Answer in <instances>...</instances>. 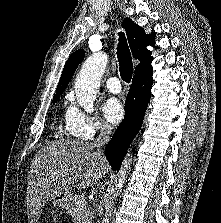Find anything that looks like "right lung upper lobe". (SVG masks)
Returning a JSON list of instances; mask_svg holds the SVG:
<instances>
[{
	"label": "right lung upper lobe",
	"mask_w": 221,
	"mask_h": 223,
	"mask_svg": "<svg viewBox=\"0 0 221 223\" xmlns=\"http://www.w3.org/2000/svg\"><path fill=\"white\" fill-rule=\"evenodd\" d=\"M122 26L126 31L128 42L134 58L140 60V64L136 66L135 74L153 71L151 66V52L146 47L148 45L155 46V32H152L150 35H146L144 30L138 25H136L129 18H125L123 20ZM84 55L85 54L83 49H79L70 55L69 59L67 60L64 66L53 99L59 98L60 95L64 92L76 68L78 67L79 63L83 60Z\"/></svg>",
	"instance_id": "obj_1"
}]
</instances>
